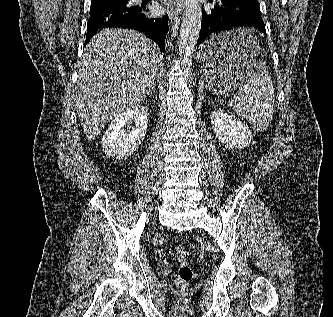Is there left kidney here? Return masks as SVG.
I'll return each mask as SVG.
<instances>
[{"mask_svg":"<svg viewBox=\"0 0 333 317\" xmlns=\"http://www.w3.org/2000/svg\"><path fill=\"white\" fill-rule=\"evenodd\" d=\"M210 119L216 137L226 147L243 149L251 143L252 133L248 126L225 110L213 111Z\"/></svg>","mask_w":333,"mask_h":317,"instance_id":"obj_1","label":"left kidney"}]
</instances>
